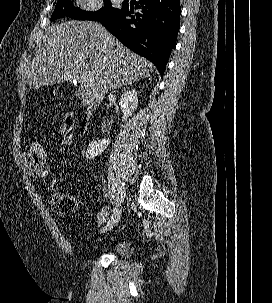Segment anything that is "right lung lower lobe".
Returning <instances> with one entry per match:
<instances>
[{"mask_svg":"<svg viewBox=\"0 0 272 303\" xmlns=\"http://www.w3.org/2000/svg\"><path fill=\"white\" fill-rule=\"evenodd\" d=\"M135 8L141 13L133 14L123 6L101 24L126 47L154 63L163 76L180 28V0H140Z\"/></svg>","mask_w":272,"mask_h":303,"instance_id":"98d812e1","label":"right lung lower lobe"}]
</instances>
